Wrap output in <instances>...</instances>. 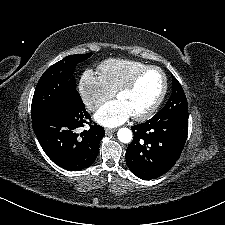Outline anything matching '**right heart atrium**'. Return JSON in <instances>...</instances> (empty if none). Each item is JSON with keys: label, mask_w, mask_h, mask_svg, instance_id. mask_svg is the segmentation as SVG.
Returning a JSON list of instances; mask_svg holds the SVG:
<instances>
[{"label": "right heart atrium", "mask_w": 225, "mask_h": 225, "mask_svg": "<svg viewBox=\"0 0 225 225\" xmlns=\"http://www.w3.org/2000/svg\"><path fill=\"white\" fill-rule=\"evenodd\" d=\"M79 91L84 103L91 111L97 110L113 96L100 76L89 70L85 71L80 77Z\"/></svg>", "instance_id": "1"}]
</instances>
